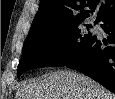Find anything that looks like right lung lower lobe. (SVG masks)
Wrapping results in <instances>:
<instances>
[{"label": "right lung lower lobe", "instance_id": "1", "mask_svg": "<svg viewBox=\"0 0 115 99\" xmlns=\"http://www.w3.org/2000/svg\"><path fill=\"white\" fill-rule=\"evenodd\" d=\"M100 22L108 34L107 41L95 36L81 54L66 66L84 73L115 93V11Z\"/></svg>", "mask_w": 115, "mask_h": 99}]
</instances>
